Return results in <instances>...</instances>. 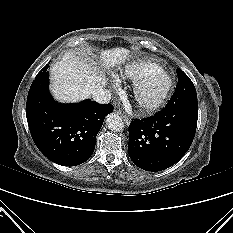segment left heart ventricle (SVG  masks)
Returning <instances> with one entry per match:
<instances>
[{
	"instance_id": "b2bd125f",
	"label": "left heart ventricle",
	"mask_w": 233,
	"mask_h": 233,
	"mask_svg": "<svg viewBox=\"0 0 233 233\" xmlns=\"http://www.w3.org/2000/svg\"><path fill=\"white\" fill-rule=\"evenodd\" d=\"M163 84H164L163 79L160 76H157L154 79V81L149 89V95L153 96V95L157 94L160 91V89L163 87Z\"/></svg>"
}]
</instances>
